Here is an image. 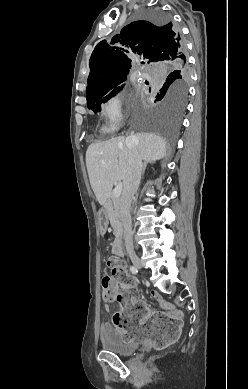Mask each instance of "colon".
<instances>
[{"instance_id":"colon-1","label":"colon","mask_w":248,"mask_h":389,"mask_svg":"<svg viewBox=\"0 0 248 389\" xmlns=\"http://www.w3.org/2000/svg\"><path fill=\"white\" fill-rule=\"evenodd\" d=\"M111 264L109 261L108 265ZM136 283V278L120 264L113 265L110 275L103 276V298L116 300L123 306L114 314L113 323L123 332L125 344H154L156 350H165L166 344L177 343L180 320L168 311H152L150 315L149 306L140 301ZM126 285L129 289L123 287Z\"/></svg>"}]
</instances>
